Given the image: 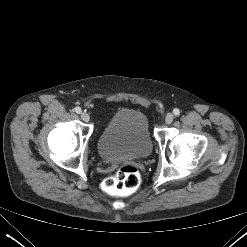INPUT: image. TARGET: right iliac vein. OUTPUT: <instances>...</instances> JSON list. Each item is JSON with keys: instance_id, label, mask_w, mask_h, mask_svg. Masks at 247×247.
<instances>
[{"instance_id": "1", "label": "right iliac vein", "mask_w": 247, "mask_h": 247, "mask_svg": "<svg viewBox=\"0 0 247 247\" xmlns=\"http://www.w3.org/2000/svg\"><path fill=\"white\" fill-rule=\"evenodd\" d=\"M81 119L84 121V122H88L90 120V116L87 112H82L81 113Z\"/></svg>"}]
</instances>
